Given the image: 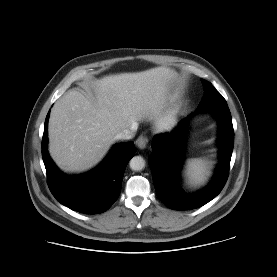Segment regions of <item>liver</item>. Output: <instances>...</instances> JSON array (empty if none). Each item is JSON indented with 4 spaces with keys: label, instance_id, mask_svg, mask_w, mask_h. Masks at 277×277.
Here are the masks:
<instances>
[{
    "label": "liver",
    "instance_id": "obj_1",
    "mask_svg": "<svg viewBox=\"0 0 277 277\" xmlns=\"http://www.w3.org/2000/svg\"><path fill=\"white\" fill-rule=\"evenodd\" d=\"M175 71L156 67L138 73L106 76L92 84L94 97L76 90L65 93L49 118V152L66 172L97 165L115 136L138 121L158 119L177 95L171 93Z\"/></svg>",
    "mask_w": 277,
    "mask_h": 277
}]
</instances>
